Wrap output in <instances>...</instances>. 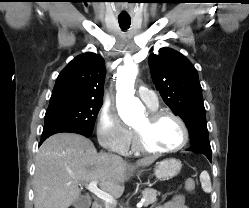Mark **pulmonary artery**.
<instances>
[{"mask_svg": "<svg viewBox=\"0 0 249 208\" xmlns=\"http://www.w3.org/2000/svg\"><path fill=\"white\" fill-rule=\"evenodd\" d=\"M138 97L149 107V108H157L158 107V99L156 94L145 87H140L138 90Z\"/></svg>", "mask_w": 249, "mask_h": 208, "instance_id": "pulmonary-artery-1", "label": "pulmonary artery"}]
</instances>
